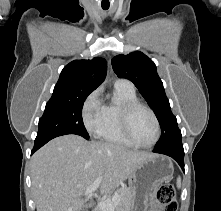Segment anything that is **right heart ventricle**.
<instances>
[{"label": "right heart ventricle", "mask_w": 221, "mask_h": 211, "mask_svg": "<svg viewBox=\"0 0 221 211\" xmlns=\"http://www.w3.org/2000/svg\"><path fill=\"white\" fill-rule=\"evenodd\" d=\"M114 97L115 101L104 105V121L97 136L108 143L132 147L121 129L120 110L125 103L138 101L135 89L115 86Z\"/></svg>", "instance_id": "right-heart-ventricle-1"}]
</instances>
